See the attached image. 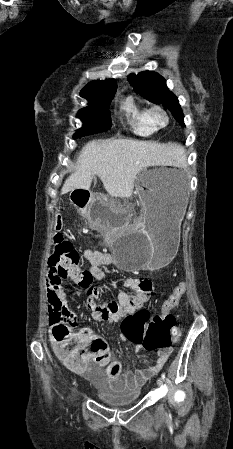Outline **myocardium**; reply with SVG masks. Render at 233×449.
Returning <instances> with one entry per match:
<instances>
[{"label":"myocardium","mask_w":233,"mask_h":449,"mask_svg":"<svg viewBox=\"0 0 233 449\" xmlns=\"http://www.w3.org/2000/svg\"><path fill=\"white\" fill-rule=\"evenodd\" d=\"M148 117L150 122L156 127V128H164L166 127L170 122V115L168 111L161 105L155 104L148 108L147 110ZM160 118L163 119V121H160Z\"/></svg>","instance_id":"f54148a6"}]
</instances>
